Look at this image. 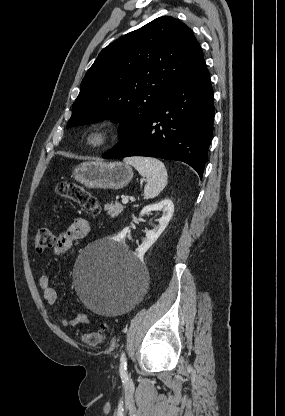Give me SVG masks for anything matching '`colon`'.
<instances>
[{"mask_svg":"<svg viewBox=\"0 0 285 416\" xmlns=\"http://www.w3.org/2000/svg\"><path fill=\"white\" fill-rule=\"evenodd\" d=\"M57 192L61 197L72 200L93 216L98 215L100 212L97 199L78 184L62 182L58 185ZM54 241L55 237L50 229H39L34 236V248L36 252L42 253L51 248L54 245ZM106 331L107 326L102 325L92 332H80L79 338L89 346H99L105 340Z\"/></svg>","mask_w":285,"mask_h":416,"instance_id":"5ec220e1","label":"colon"}]
</instances>
